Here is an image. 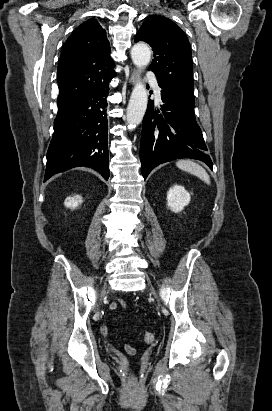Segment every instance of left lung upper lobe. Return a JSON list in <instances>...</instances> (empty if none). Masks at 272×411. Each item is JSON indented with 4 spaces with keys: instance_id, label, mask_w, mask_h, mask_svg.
<instances>
[{
    "instance_id": "1",
    "label": "left lung upper lobe",
    "mask_w": 272,
    "mask_h": 411,
    "mask_svg": "<svg viewBox=\"0 0 272 411\" xmlns=\"http://www.w3.org/2000/svg\"><path fill=\"white\" fill-rule=\"evenodd\" d=\"M138 41L153 48L149 70L157 76L158 84L194 102L192 54L185 33L168 18L152 15L137 32Z\"/></svg>"
}]
</instances>
